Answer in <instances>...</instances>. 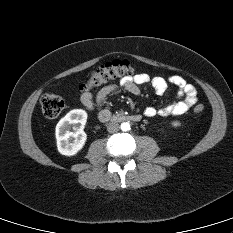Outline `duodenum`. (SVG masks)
Listing matches in <instances>:
<instances>
[{"mask_svg": "<svg viewBox=\"0 0 233 233\" xmlns=\"http://www.w3.org/2000/svg\"><path fill=\"white\" fill-rule=\"evenodd\" d=\"M102 121H116V122H139L141 120V116L138 114H131V115H118V116H102Z\"/></svg>", "mask_w": 233, "mask_h": 233, "instance_id": "obj_1", "label": "duodenum"}]
</instances>
